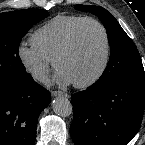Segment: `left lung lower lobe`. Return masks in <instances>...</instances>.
Instances as JSON below:
<instances>
[{
	"mask_svg": "<svg viewBox=\"0 0 145 145\" xmlns=\"http://www.w3.org/2000/svg\"><path fill=\"white\" fill-rule=\"evenodd\" d=\"M75 145H126L137 134L145 107V76L91 85L71 95Z\"/></svg>",
	"mask_w": 145,
	"mask_h": 145,
	"instance_id": "obj_1",
	"label": "left lung lower lobe"
}]
</instances>
